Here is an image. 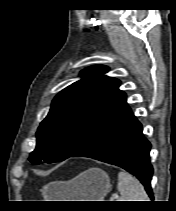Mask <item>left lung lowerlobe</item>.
<instances>
[{"label":"left lung lower lobe","mask_w":176,"mask_h":211,"mask_svg":"<svg viewBox=\"0 0 176 211\" xmlns=\"http://www.w3.org/2000/svg\"><path fill=\"white\" fill-rule=\"evenodd\" d=\"M150 149V142L142 134L141 123L127 106L93 133L71 157H88L125 169L140 180L153 199Z\"/></svg>","instance_id":"obj_1"}]
</instances>
